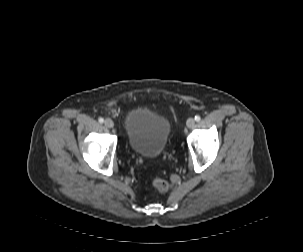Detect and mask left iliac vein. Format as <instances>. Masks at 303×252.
<instances>
[{"mask_svg": "<svg viewBox=\"0 0 303 252\" xmlns=\"http://www.w3.org/2000/svg\"><path fill=\"white\" fill-rule=\"evenodd\" d=\"M195 123H196V121H195L194 118H189V119L187 120V127H188L189 129H192V128H194Z\"/></svg>", "mask_w": 303, "mask_h": 252, "instance_id": "left-iliac-vein-1", "label": "left iliac vein"}]
</instances>
